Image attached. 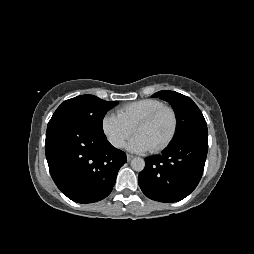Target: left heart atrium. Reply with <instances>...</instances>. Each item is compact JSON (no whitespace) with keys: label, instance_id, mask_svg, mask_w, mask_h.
Instances as JSON below:
<instances>
[{"label":"left heart atrium","instance_id":"left-heart-atrium-1","mask_svg":"<svg viewBox=\"0 0 254 254\" xmlns=\"http://www.w3.org/2000/svg\"><path fill=\"white\" fill-rule=\"evenodd\" d=\"M127 149L132 152H145L151 149L150 144L147 142V140L139 135L136 134L128 143Z\"/></svg>","mask_w":254,"mask_h":254}]
</instances>
